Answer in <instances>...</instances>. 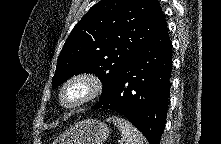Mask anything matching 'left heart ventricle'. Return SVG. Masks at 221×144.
<instances>
[{"instance_id":"1","label":"left heart ventricle","mask_w":221,"mask_h":144,"mask_svg":"<svg viewBox=\"0 0 221 144\" xmlns=\"http://www.w3.org/2000/svg\"><path fill=\"white\" fill-rule=\"evenodd\" d=\"M85 92V86L77 84L70 87L65 94V101L68 103L74 102L79 99Z\"/></svg>"}]
</instances>
